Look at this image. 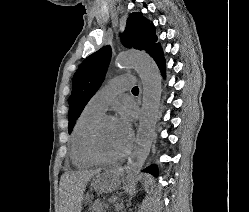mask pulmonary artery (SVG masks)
Here are the masks:
<instances>
[{
    "mask_svg": "<svg viewBox=\"0 0 249 212\" xmlns=\"http://www.w3.org/2000/svg\"><path fill=\"white\" fill-rule=\"evenodd\" d=\"M129 77V75H120L109 80L91 97L88 103L94 108L105 112L113 98L132 87L127 82Z\"/></svg>",
    "mask_w": 249,
    "mask_h": 212,
    "instance_id": "pulmonary-artery-1",
    "label": "pulmonary artery"
}]
</instances>
